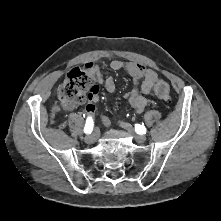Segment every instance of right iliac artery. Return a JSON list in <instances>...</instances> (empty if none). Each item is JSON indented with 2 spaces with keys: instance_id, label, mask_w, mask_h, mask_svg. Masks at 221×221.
Wrapping results in <instances>:
<instances>
[{
  "instance_id": "right-iliac-artery-1",
  "label": "right iliac artery",
  "mask_w": 221,
  "mask_h": 221,
  "mask_svg": "<svg viewBox=\"0 0 221 221\" xmlns=\"http://www.w3.org/2000/svg\"><path fill=\"white\" fill-rule=\"evenodd\" d=\"M93 127H94L93 119H92V117H88L86 120L85 127H84V132L86 134H91Z\"/></svg>"
}]
</instances>
